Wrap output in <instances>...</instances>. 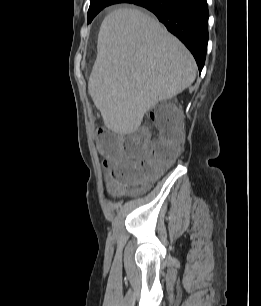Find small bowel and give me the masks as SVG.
Instances as JSON below:
<instances>
[{
  "mask_svg": "<svg viewBox=\"0 0 261 306\" xmlns=\"http://www.w3.org/2000/svg\"><path fill=\"white\" fill-rule=\"evenodd\" d=\"M125 158L120 159L119 161H112L111 159H107L104 161V168L108 172V174L112 173L113 167L121 161H124ZM132 165L137 166L138 164L136 162H130Z\"/></svg>",
  "mask_w": 261,
  "mask_h": 306,
  "instance_id": "obj_1",
  "label": "small bowel"
}]
</instances>
